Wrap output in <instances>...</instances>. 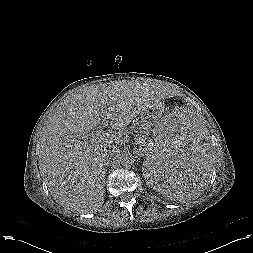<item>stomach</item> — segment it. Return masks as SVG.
Here are the masks:
<instances>
[{"label": "stomach", "mask_w": 253, "mask_h": 253, "mask_svg": "<svg viewBox=\"0 0 253 253\" xmlns=\"http://www.w3.org/2000/svg\"><path fill=\"white\" fill-rule=\"evenodd\" d=\"M161 112L157 105H151L140 114L141 121L148 125H155L161 118Z\"/></svg>", "instance_id": "0dacf381"}]
</instances>
